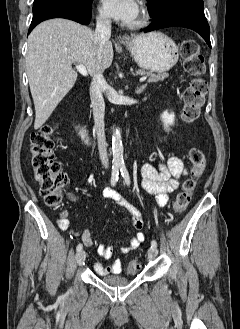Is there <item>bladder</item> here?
I'll use <instances>...</instances> for the list:
<instances>
[{
    "label": "bladder",
    "mask_w": 240,
    "mask_h": 329,
    "mask_svg": "<svg viewBox=\"0 0 240 329\" xmlns=\"http://www.w3.org/2000/svg\"><path fill=\"white\" fill-rule=\"evenodd\" d=\"M130 278L127 277H123V276H118V275H114V276H110V277H105L103 279V282L111 285V286H123L126 285L130 282Z\"/></svg>",
    "instance_id": "31cf9c89"
}]
</instances>
